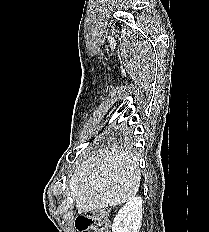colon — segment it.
I'll return each instance as SVG.
<instances>
[{"mask_svg":"<svg viewBox=\"0 0 209 232\" xmlns=\"http://www.w3.org/2000/svg\"><path fill=\"white\" fill-rule=\"evenodd\" d=\"M110 211L93 210L81 214L76 219V228L80 232H109Z\"/></svg>","mask_w":209,"mask_h":232,"instance_id":"1","label":"colon"}]
</instances>
